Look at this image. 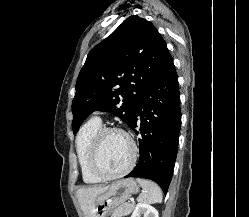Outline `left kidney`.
I'll list each match as a JSON object with an SVG mask.
<instances>
[{
	"label": "left kidney",
	"instance_id": "left-kidney-1",
	"mask_svg": "<svg viewBox=\"0 0 249 217\" xmlns=\"http://www.w3.org/2000/svg\"><path fill=\"white\" fill-rule=\"evenodd\" d=\"M159 217L158 211L153 206L146 203H138L131 217Z\"/></svg>",
	"mask_w": 249,
	"mask_h": 217
}]
</instances>
